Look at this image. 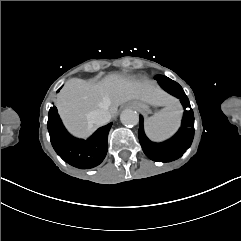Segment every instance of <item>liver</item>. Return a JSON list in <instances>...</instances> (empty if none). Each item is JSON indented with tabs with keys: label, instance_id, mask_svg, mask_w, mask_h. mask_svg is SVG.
Instances as JSON below:
<instances>
[{
	"label": "liver",
	"instance_id": "6515ba94",
	"mask_svg": "<svg viewBox=\"0 0 241 241\" xmlns=\"http://www.w3.org/2000/svg\"><path fill=\"white\" fill-rule=\"evenodd\" d=\"M131 100L181 112L177 108V100L156 86L154 81L139 82L118 73H110L99 82L69 79L57 94L55 105L68 131L86 139L98 127L87 121L89 112L106 109L113 117L118 106Z\"/></svg>",
	"mask_w": 241,
	"mask_h": 241
}]
</instances>
